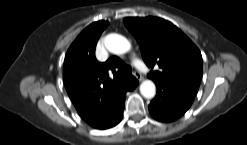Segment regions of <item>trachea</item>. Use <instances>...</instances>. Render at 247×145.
Wrapping results in <instances>:
<instances>
[{"mask_svg":"<svg viewBox=\"0 0 247 145\" xmlns=\"http://www.w3.org/2000/svg\"><path fill=\"white\" fill-rule=\"evenodd\" d=\"M132 68L129 65H121L118 69V75L123 76L124 74H131Z\"/></svg>","mask_w":247,"mask_h":145,"instance_id":"obj_1","label":"trachea"}]
</instances>
